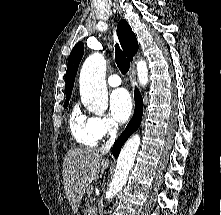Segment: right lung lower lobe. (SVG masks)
<instances>
[{
  "instance_id": "1",
  "label": "right lung lower lobe",
  "mask_w": 221,
  "mask_h": 215,
  "mask_svg": "<svg viewBox=\"0 0 221 215\" xmlns=\"http://www.w3.org/2000/svg\"><path fill=\"white\" fill-rule=\"evenodd\" d=\"M143 113V100L140 93L136 90L135 92V112L133 118L129 122L128 126L124 130V132L120 135V137L115 141L114 146L112 148V154L115 157H118L119 152L125 143V141L135 132L140 126L141 119Z\"/></svg>"
}]
</instances>
